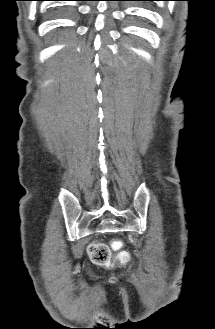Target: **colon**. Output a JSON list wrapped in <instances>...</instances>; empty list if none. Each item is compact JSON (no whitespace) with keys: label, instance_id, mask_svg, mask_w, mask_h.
Wrapping results in <instances>:
<instances>
[{"label":"colon","instance_id":"1","mask_svg":"<svg viewBox=\"0 0 215 329\" xmlns=\"http://www.w3.org/2000/svg\"><path fill=\"white\" fill-rule=\"evenodd\" d=\"M112 249L118 251V260L127 262L129 260V253L122 250L121 242H113L111 247L104 243H93L88 247V254L93 263L96 265H108L112 260Z\"/></svg>","mask_w":215,"mask_h":329}]
</instances>
